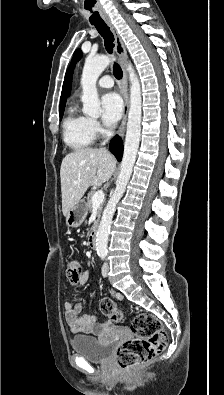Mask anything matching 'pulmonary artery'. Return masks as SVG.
<instances>
[{"mask_svg": "<svg viewBox=\"0 0 224 395\" xmlns=\"http://www.w3.org/2000/svg\"><path fill=\"white\" fill-rule=\"evenodd\" d=\"M98 85L101 88H111L114 85L112 77L105 75L98 80Z\"/></svg>", "mask_w": 224, "mask_h": 395, "instance_id": "obj_1", "label": "pulmonary artery"}]
</instances>
